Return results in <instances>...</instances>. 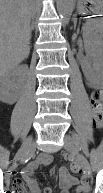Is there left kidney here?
Masks as SVG:
<instances>
[{
	"label": "left kidney",
	"mask_w": 103,
	"mask_h": 193,
	"mask_svg": "<svg viewBox=\"0 0 103 193\" xmlns=\"http://www.w3.org/2000/svg\"><path fill=\"white\" fill-rule=\"evenodd\" d=\"M85 50L88 59L83 61L81 68L87 79L102 78L103 76V50L90 41H85Z\"/></svg>",
	"instance_id": "5707ae66"
}]
</instances>
